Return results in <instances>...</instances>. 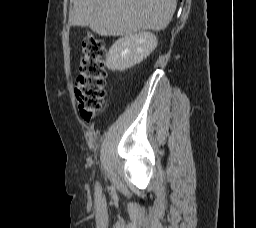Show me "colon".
Listing matches in <instances>:
<instances>
[{"label":"colon","mask_w":256,"mask_h":228,"mask_svg":"<svg viewBox=\"0 0 256 228\" xmlns=\"http://www.w3.org/2000/svg\"><path fill=\"white\" fill-rule=\"evenodd\" d=\"M105 45L92 33L83 38L82 56L75 79V96L80 116L90 121L99 114L106 95Z\"/></svg>","instance_id":"colon-1"}]
</instances>
